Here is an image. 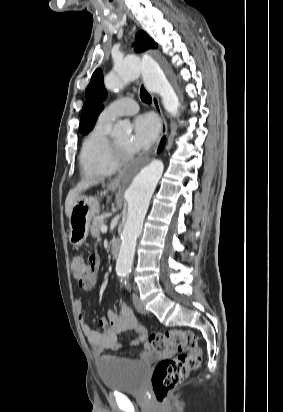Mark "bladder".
<instances>
[{"mask_svg": "<svg viewBox=\"0 0 283 412\" xmlns=\"http://www.w3.org/2000/svg\"><path fill=\"white\" fill-rule=\"evenodd\" d=\"M149 365L125 359L109 361L100 370V377L108 389L137 393L144 389Z\"/></svg>", "mask_w": 283, "mask_h": 412, "instance_id": "1", "label": "bladder"}]
</instances>
